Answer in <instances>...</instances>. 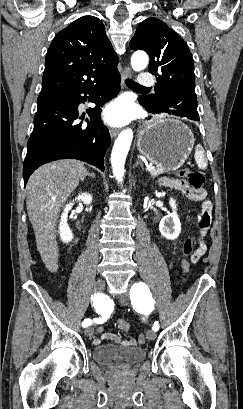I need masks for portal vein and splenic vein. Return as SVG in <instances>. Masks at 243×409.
<instances>
[{
	"instance_id": "18ae733b",
	"label": "portal vein and splenic vein",
	"mask_w": 243,
	"mask_h": 409,
	"mask_svg": "<svg viewBox=\"0 0 243 409\" xmlns=\"http://www.w3.org/2000/svg\"><path fill=\"white\" fill-rule=\"evenodd\" d=\"M151 169H153V166H152V165H148V166H147V170H151Z\"/></svg>"
}]
</instances>
